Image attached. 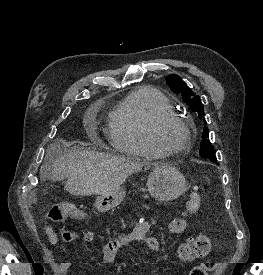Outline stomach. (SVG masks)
Listing matches in <instances>:
<instances>
[{"mask_svg": "<svg viewBox=\"0 0 263 275\" xmlns=\"http://www.w3.org/2000/svg\"><path fill=\"white\" fill-rule=\"evenodd\" d=\"M185 177L172 166H157L148 176L147 188L152 197L158 201H172L180 197L187 189ZM125 197L123 188L101 195L94 207L100 211H108L119 205Z\"/></svg>", "mask_w": 263, "mask_h": 275, "instance_id": "1", "label": "stomach"}]
</instances>
